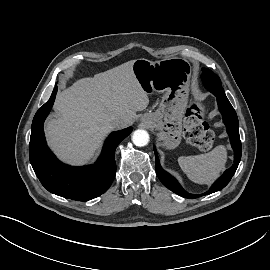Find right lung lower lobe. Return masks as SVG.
Wrapping results in <instances>:
<instances>
[{"mask_svg": "<svg viewBox=\"0 0 270 270\" xmlns=\"http://www.w3.org/2000/svg\"><path fill=\"white\" fill-rule=\"evenodd\" d=\"M57 93L55 86L50 99L37 111L32 122L29 158L35 174L51 193L78 201H88L103 194L116 174L115 150L132 131L126 128L113 132L105 141L94 165L72 167L60 162L48 148L43 123Z\"/></svg>", "mask_w": 270, "mask_h": 270, "instance_id": "right-lung-lower-lobe-1", "label": "right lung lower lobe"}]
</instances>
